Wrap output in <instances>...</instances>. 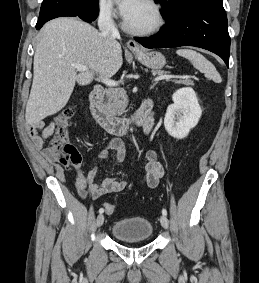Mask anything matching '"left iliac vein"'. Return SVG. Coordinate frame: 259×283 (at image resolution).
I'll use <instances>...</instances> for the list:
<instances>
[{"label":"left iliac vein","instance_id":"4c4485c4","mask_svg":"<svg viewBox=\"0 0 259 283\" xmlns=\"http://www.w3.org/2000/svg\"><path fill=\"white\" fill-rule=\"evenodd\" d=\"M160 223H161L163 228L168 229L169 222H168V219H167V217L165 215H161L160 216Z\"/></svg>","mask_w":259,"mask_h":283}]
</instances>
